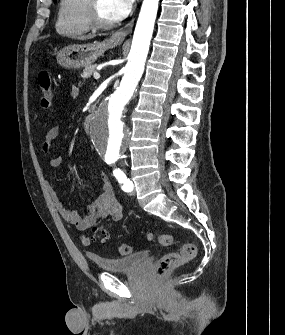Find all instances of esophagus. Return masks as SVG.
Listing matches in <instances>:
<instances>
[{
	"mask_svg": "<svg viewBox=\"0 0 285 335\" xmlns=\"http://www.w3.org/2000/svg\"><path fill=\"white\" fill-rule=\"evenodd\" d=\"M134 20L135 19L133 18L125 27L120 28L119 30H116L112 34V38L123 41L125 37H127V35L131 32L133 28Z\"/></svg>",
	"mask_w": 285,
	"mask_h": 335,
	"instance_id": "obj_1",
	"label": "esophagus"
}]
</instances>
